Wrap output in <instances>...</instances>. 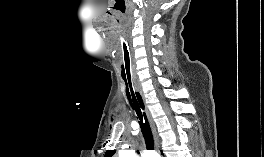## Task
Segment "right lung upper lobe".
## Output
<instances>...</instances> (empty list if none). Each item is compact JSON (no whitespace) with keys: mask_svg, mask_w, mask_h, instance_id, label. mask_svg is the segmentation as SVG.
Returning a JSON list of instances; mask_svg holds the SVG:
<instances>
[{"mask_svg":"<svg viewBox=\"0 0 264 157\" xmlns=\"http://www.w3.org/2000/svg\"><path fill=\"white\" fill-rule=\"evenodd\" d=\"M114 153H115V150H108L105 154V157H112Z\"/></svg>","mask_w":264,"mask_h":157,"instance_id":"right-lung-upper-lobe-1","label":"right lung upper lobe"}]
</instances>
